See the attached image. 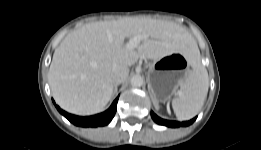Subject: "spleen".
<instances>
[{
  "mask_svg": "<svg viewBox=\"0 0 261 150\" xmlns=\"http://www.w3.org/2000/svg\"><path fill=\"white\" fill-rule=\"evenodd\" d=\"M190 64L193 70L180 85L177 96L172 99V108L180 121L189 120L199 113L209 88L208 72L201 64L196 44L191 48Z\"/></svg>",
  "mask_w": 261,
  "mask_h": 150,
  "instance_id": "spleen-1",
  "label": "spleen"
}]
</instances>
